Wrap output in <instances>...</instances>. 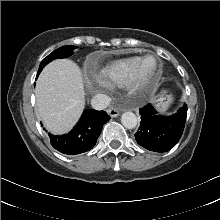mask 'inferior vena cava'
<instances>
[{"label": "inferior vena cava", "instance_id": "1", "mask_svg": "<svg viewBox=\"0 0 220 220\" xmlns=\"http://www.w3.org/2000/svg\"><path fill=\"white\" fill-rule=\"evenodd\" d=\"M110 104V97L104 94H97L91 99V105L96 110H103Z\"/></svg>", "mask_w": 220, "mask_h": 220}]
</instances>
